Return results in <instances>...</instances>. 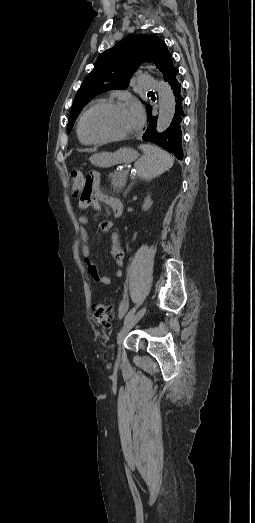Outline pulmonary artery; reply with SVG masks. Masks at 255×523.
Here are the masks:
<instances>
[{
  "instance_id": "1",
  "label": "pulmonary artery",
  "mask_w": 255,
  "mask_h": 523,
  "mask_svg": "<svg viewBox=\"0 0 255 523\" xmlns=\"http://www.w3.org/2000/svg\"><path fill=\"white\" fill-rule=\"evenodd\" d=\"M139 85L138 88L141 91L150 92L153 90V88H156L158 81L155 78H151L149 74L144 73L140 75L139 77Z\"/></svg>"
}]
</instances>
